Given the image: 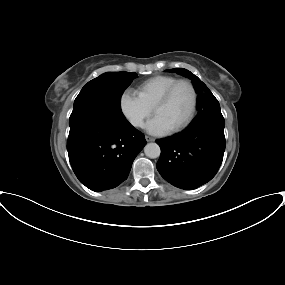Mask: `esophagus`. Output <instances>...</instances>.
I'll return each instance as SVG.
<instances>
[{
	"mask_svg": "<svg viewBox=\"0 0 285 285\" xmlns=\"http://www.w3.org/2000/svg\"><path fill=\"white\" fill-rule=\"evenodd\" d=\"M145 139H146L147 142L155 141V139L153 137H150V136H145Z\"/></svg>",
	"mask_w": 285,
	"mask_h": 285,
	"instance_id": "1",
	"label": "esophagus"
}]
</instances>
